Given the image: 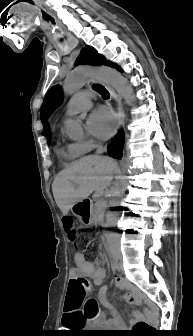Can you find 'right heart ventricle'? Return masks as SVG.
Here are the masks:
<instances>
[{
    "instance_id": "e07e8e85",
    "label": "right heart ventricle",
    "mask_w": 193,
    "mask_h": 336,
    "mask_svg": "<svg viewBox=\"0 0 193 336\" xmlns=\"http://www.w3.org/2000/svg\"><path fill=\"white\" fill-rule=\"evenodd\" d=\"M58 155L65 161H75L80 158L84 152L78 143H69L65 146H60L57 149Z\"/></svg>"
}]
</instances>
